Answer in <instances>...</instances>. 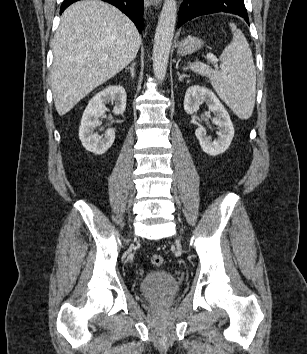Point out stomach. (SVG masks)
<instances>
[{"instance_id":"obj_1","label":"stomach","mask_w":307,"mask_h":354,"mask_svg":"<svg viewBox=\"0 0 307 354\" xmlns=\"http://www.w3.org/2000/svg\"><path fill=\"white\" fill-rule=\"evenodd\" d=\"M203 45V41L197 37L188 36L178 44V53L186 55L199 50Z\"/></svg>"}]
</instances>
